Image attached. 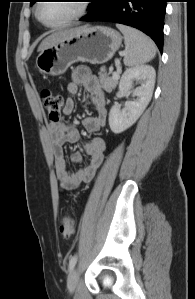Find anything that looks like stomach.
I'll list each match as a JSON object with an SVG mask.
<instances>
[{
  "mask_svg": "<svg viewBox=\"0 0 195 299\" xmlns=\"http://www.w3.org/2000/svg\"><path fill=\"white\" fill-rule=\"evenodd\" d=\"M122 43L121 34L110 27L83 26L40 52L36 66L46 75L65 73L75 62L102 64L110 60Z\"/></svg>",
  "mask_w": 195,
  "mask_h": 299,
  "instance_id": "0dacf381",
  "label": "stomach"
}]
</instances>
